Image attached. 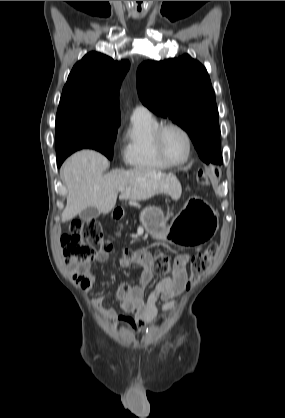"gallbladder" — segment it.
Listing matches in <instances>:
<instances>
[{
	"instance_id": "1",
	"label": "gallbladder",
	"mask_w": 285,
	"mask_h": 418,
	"mask_svg": "<svg viewBox=\"0 0 285 418\" xmlns=\"http://www.w3.org/2000/svg\"><path fill=\"white\" fill-rule=\"evenodd\" d=\"M100 215V211L96 207H88L83 210L79 216L83 221H90L97 218Z\"/></svg>"
}]
</instances>
